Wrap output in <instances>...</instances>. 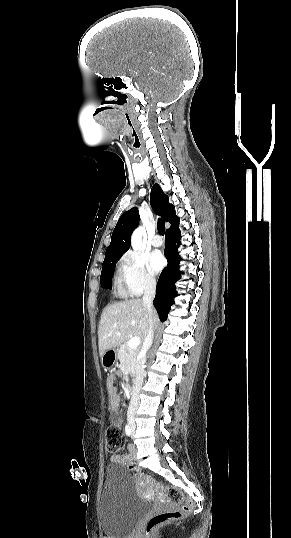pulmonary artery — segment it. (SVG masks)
<instances>
[{"label":"pulmonary artery","instance_id":"e3ab8cb5","mask_svg":"<svg viewBox=\"0 0 291 538\" xmlns=\"http://www.w3.org/2000/svg\"><path fill=\"white\" fill-rule=\"evenodd\" d=\"M151 244H152V246H154V247H160V246H162L163 241H162L161 237H159V236H155V237L151 240Z\"/></svg>","mask_w":291,"mask_h":538}]
</instances>
